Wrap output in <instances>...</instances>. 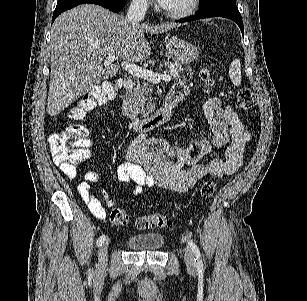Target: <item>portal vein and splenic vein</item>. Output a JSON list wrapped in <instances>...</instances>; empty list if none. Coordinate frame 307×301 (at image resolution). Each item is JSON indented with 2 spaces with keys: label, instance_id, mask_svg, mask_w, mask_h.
<instances>
[{
  "label": "portal vein and splenic vein",
  "instance_id": "18ae733b",
  "mask_svg": "<svg viewBox=\"0 0 307 301\" xmlns=\"http://www.w3.org/2000/svg\"><path fill=\"white\" fill-rule=\"evenodd\" d=\"M114 60V56H106V60H104L105 66H107V64H111V62H114ZM122 66L126 72H129V74H133V76H140V78H143V80H149V82L171 80L170 74H158V72H152V70H148V68L137 66V64H133V62H123Z\"/></svg>",
  "mask_w": 307,
  "mask_h": 301
}]
</instances>
